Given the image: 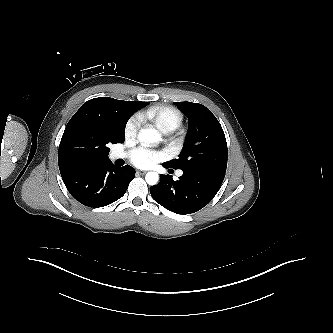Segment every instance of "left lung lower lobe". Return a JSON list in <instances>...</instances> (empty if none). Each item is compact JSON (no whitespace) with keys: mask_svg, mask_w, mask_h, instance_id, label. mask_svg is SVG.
I'll return each mask as SVG.
<instances>
[{"mask_svg":"<svg viewBox=\"0 0 333 333\" xmlns=\"http://www.w3.org/2000/svg\"><path fill=\"white\" fill-rule=\"evenodd\" d=\"M160 177V182L150 188L152 198L164 208L185 215L199 211L214 198L225 173L211 170L183 171L177 181L170 175L161 174Z\"/></svg>","mask_w":333,"mask_h":333,"instance_id":"0a47b994","label":"left lung lower lobe"}]
</instances>
